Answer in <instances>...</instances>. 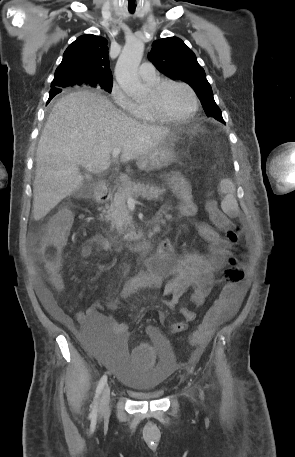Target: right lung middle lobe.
Here are the masks:
<instances>
[{
	"mask_svg": "<svg viewBox=\"0 0 295 457\" xmlns=\"http://www.w3.org/2000/svg\"><path fill=\"white\" fill-rule=\"evenodd\" d=\"M74 84H68L66 86H72ZM80 85V84H77ZM90 86H100L101 88L105 89L108 92H111L112 90V82H106L104 84L96 85V83L91 84Z\"/></svg>",
	"mask_w": 295,
	"mask_h": 457,
	"instance_id": "1",
	"label": "right lung middle lobe"
}]
</instances>
